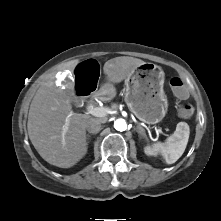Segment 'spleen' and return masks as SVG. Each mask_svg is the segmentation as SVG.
<instances>
[{"label":"spleen","instance_id":"3e777b00","mask_svg":"<svg viewBox=\"0 0 221 221\" xmlns=\"http://www.w3.org/2000/svg\"><path fill=\"white\" fill-rule=\"evenodd\" d=\"M190 129L187 123L179 122L175 132L168 137L165 143L157 142L154 144L155 150L161 153L167 164L175 163L184 153Z\"/></svg>","mask_w":221,"mask_h":221}]
</instances>
